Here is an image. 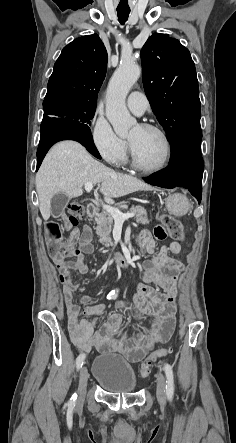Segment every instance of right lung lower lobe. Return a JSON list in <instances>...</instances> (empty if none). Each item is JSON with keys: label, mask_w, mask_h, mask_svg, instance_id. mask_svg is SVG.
<instances>
[{"label": "right lung lower lobe", "mask_w": 236, "mask_h": 443, "mask_svg": "<svg viewBox=\"0 0 236 443\" xmlns=\"http://www.w3.org/2000/svg\"><path fill=\"white\" fill-rule=\"evenodd\" d=\"M61 140L80 142L95 157L101 158L92 140L91 133L81 130L68 120L49 117L41 123V137L37 149V169L50 147Z\"/></svg>", "instance_id": "1"}]
</instances>
